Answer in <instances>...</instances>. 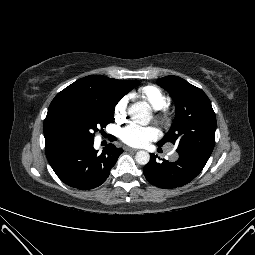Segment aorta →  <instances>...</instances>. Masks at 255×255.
Masks as SVG:
<instances>
[{
    "instance_id": "762f6f07",
    "label": "aorta",
    "mask_w": 255,
    "mask_h": 255,
    "mask_svg": "<svg viewBox=\"0 0 255 255\" xmlns=\"http://www.w3.org/2000/svg\"><path fill=\"white\" fill-rule=\"evenodd\" d=\"M131 119L141 125H147L150 122L151 114L149 108L144 102H137L128 109ZM135 160L140 165H146L150 160V154L147 151H138Z\"/></svg>"
}]
</instances>
